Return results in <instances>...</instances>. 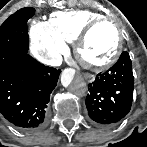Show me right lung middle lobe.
I'll return each mask as SVG.
<instances>
[{
	"mask_svg": "<svg viewBox=\"0 0 147 147\" xmlns=\"http://www.w3.org/2000/svg\"><path fill=\"white\" fill-rule=\"evenodd\" d=\"M32 8H24L4 21L0 27V68L15 58L28 52L26 23L34 13Z\"/></svg>",
	"mask_w": 147,
	"mask_h": 147,
	"instance_id": "dd1d6c3e",
	"label": "right lung middle lobe"
}]
</instances>
